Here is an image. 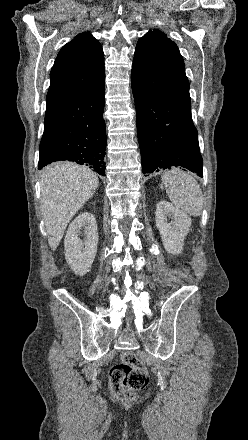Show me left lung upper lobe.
Segmentation results:
<instances>
[{
  "instance_id": "5c2ea615",
  "label": "left lung upper lobe",
  "mask_w": 248,
  "mask_h": 440,
  "mask_svg": "<svg viewBox=\"0 0 248 440\" xmlns=\"http://www.w3.org/2000/svg\"><path fill=\"white\" fill-rule=\"evenodd\" d=\"M142 83L159 90L191 111L189 81L177 45L158 29L150 30L137 43L132 65Z\"/></svg>"
}]
</instances>
